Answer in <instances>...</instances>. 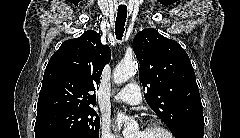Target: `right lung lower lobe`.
<instances>
[{
    "label": "right lung lower lobe",
    "instance_id": "obj_1",
    "mask_svg": "<svg viewBox=\"0 0 240 138\" xmlns=\"http://www.w3.org/2000/svg\"><path fill=\"white\" fill-rule=\"evenodd\" d=\"M35 138H76L59 131H48L35 133Z\"/></svg>",
    "mask_w": 240,
    "mask_h": 138
}]
</instances>
